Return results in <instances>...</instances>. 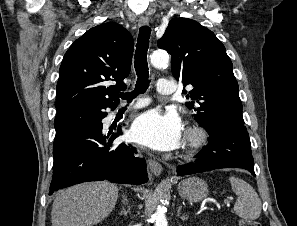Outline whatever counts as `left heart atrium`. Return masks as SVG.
<instances>
[{
  "label": "left heart atrium",
  "mask_w": 297,
  "mask_h": 226,
  "mask_svg": "<svg viewBox=\"0 0 297 226\" xmlns=\"http://www.w3.org/2000/svg\"><path fill=\"white\" fill-rule=\"evenodd\" d=\"M130 133L131 138L142 145L159 151H168L180 146L183 128L175 114L148 111L135 119Z\"/></svg>",
  "instance_id": "1"
}]
</instances>
